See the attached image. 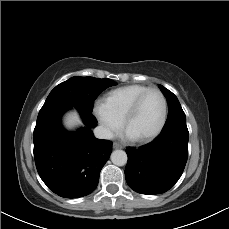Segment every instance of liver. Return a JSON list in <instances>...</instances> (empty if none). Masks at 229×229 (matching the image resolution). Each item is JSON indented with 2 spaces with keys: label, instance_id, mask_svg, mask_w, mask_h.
Listing matches in <instances>:
<instances>
[{
  "label": "liver",
  "instance_id": "6515ba94",
  "mask_svg": "<svg viewBox=\"0 0 229 229\" xmlns=\"http://www.w3.org/2000/svg\"><path fill=\"white\" fill-rule=\"evenodd\" d=\"M64 123L67 128H73L79 124H81V120L79 118V115L77 114L76 111L69 113L65 119Z\"/></svg>",
  "mask_w": 229,
  "mask_h": 229
}]
</instances>
